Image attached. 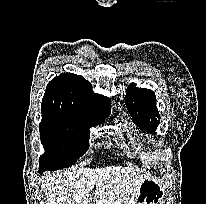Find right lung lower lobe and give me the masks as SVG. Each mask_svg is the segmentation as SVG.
<instances>
[{
	"label": "right lung lower lobe",
	"mask_w": 206,
	"mask_h": 204,
	"mask_svg": "<svg viewBox=\"0 0 206 204\" xmlns=\"http://www.w3.org/2000/svg\"><path fill=\"white\" fill-rule=\"evenodd\" d=\"M45 170L44 169H39V173L42 174Z\"/></svg>",
	"instance_id": "98d812e1"
}]
</instances>
